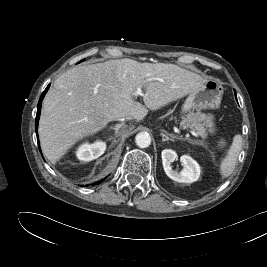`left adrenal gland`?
<instances>
[{"label": "left adrenal gland", "mask_w": 267, "mask_h": 267, "mask_svg": "<svg viewBox=\"0 0 267 267\" xmlns=\"http://www.w3.org/2000/svg\"><path fill=\"white\" fill-rule=\"evenodd\" d=\"M162 132H161V135H162V141H168V140H170V141H174L175 139H181V138H179V137H177V136H175V135H173V134H169L167 131H165V130H161ZM189 142L190 143H192V144H197V142H195V141H191V140H189Z\"/></svg>", "instance_id": "1"}]
</instances>
